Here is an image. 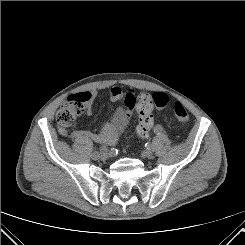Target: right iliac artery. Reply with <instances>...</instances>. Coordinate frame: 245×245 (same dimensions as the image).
I'll return each mask as SVG.
<instances>
[{
  "label": "right iliac artery",
  "instance_id": "82829eb1",
  "mask_svg": "<svg viewBox=\"0 0 245 245\" xmlns=\"http://www.w3.org/2000/svg\"><path fill=\"white\" fill-rule=\"evenodd\" d=\"M99 153L103 156H108V148H100Z\"/></svg>",
  "mask_w": 245,
  "mask_h": 245
}]
</instances>
